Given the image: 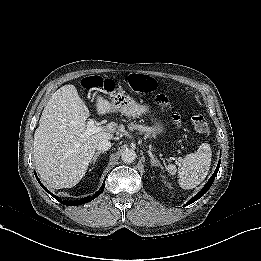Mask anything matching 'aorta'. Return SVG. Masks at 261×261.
Returning <instances> with one entry per match:
<instances>
[{"instance_id": "1", "label": "aorta", "mask_w": 261, "mask_h": 261, "mask_svg": "<svg viewBox=\"0 0 261 261\" xmlns=\"http://www.w3.org/2000/svg\"><path fill=\"white\" fill-rule=\"evenodd\" d=\"M121 159L124 163H132L136 159V152L127 148L121 153Z\"/></svg>"}]
</instances>
